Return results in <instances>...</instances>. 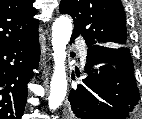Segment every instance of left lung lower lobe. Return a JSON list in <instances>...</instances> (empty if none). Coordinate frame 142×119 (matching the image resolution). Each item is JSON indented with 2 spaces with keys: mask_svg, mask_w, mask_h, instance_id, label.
<instances>
[{
  "mask_svg": "<svg viewBox=\"0 0 142 119\" xmlns=\"http://www.w3.org/2000/svg\"><path fill=\"white\" fill-rule=\"evenodd\" d=\"M76 37L72 35L70 42ZM86 58L88 76L74 84L68 97L74 115L79 119L127 118L140 97L129 49L92 45Z\"/></svg>",
  "mask_w": 142,
  "mask_h": 119,
  "instance_id": "0a47b994",
  "label": "left lung lower lobe"
}]
</instances>
